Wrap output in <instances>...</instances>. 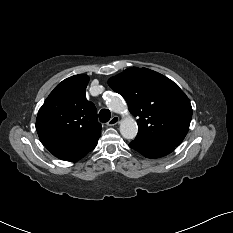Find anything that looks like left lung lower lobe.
Listing matches in <instances>:
<instances>
[{
    "label": "left lung lower lobe",
    "instance_id": "0a47b994",
    "mask_svg": "<svg viewBox=\"0 0 233 233\" xmlns=\"http://www.w3.org/2000/svg\"><path fill=\"white\" fill-rule=\"evenodd\" d=\"M129 147L141 153L147 158L163 157L175 149V146L172 145L136 138L130 142Z\"/></svg>",
    "mask_w": 233,
    "mask_h": 233
}]
</instances>
